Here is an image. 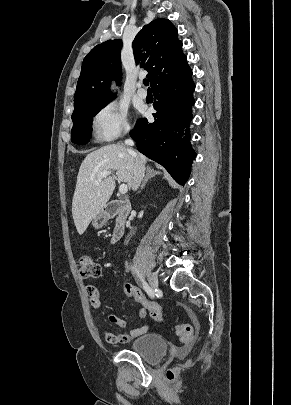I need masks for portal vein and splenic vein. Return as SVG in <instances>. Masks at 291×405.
Segmentation results:
<instances>
[{
  "label": "portal vein and splenic vein",
  "mask_w": 291,
  "mask_h": 405,
  "mask_svg": "<svg viewBox=\"0 0 291 405\" xmlns=\"http://www.w3.org/2000/svg\"><path fill=\"white\" fill-rule=\"evenodd\" d=\"M111 174H112L111 171H103V172L98 174V179L101 180V179H103V178H105V177H107V176H109ZM127 191H128L127 185L126 184H121L120 187H119V192L121 194H126Z\"/></svg>",
  "instance_id": "18ae733b"
}]
</instances>
